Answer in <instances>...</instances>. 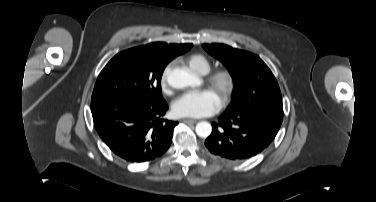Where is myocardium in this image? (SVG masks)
Segmentation results:
<instances>
[{"label":"myocardium","mask_w":376,"mask_h":202,"mask_svg":"<svg viewBox=\"0 0 376 202\" xmlns=\"http://www.w3.org/2000/svg\"><path fill=\"white\" fill-rule=\"evenodd\" d=\"M206 82L219 96L221 105H226L235 88L234 73L229 68H221L209 74Z\"/></svg>","instance_id":"1"}]
</instances>
